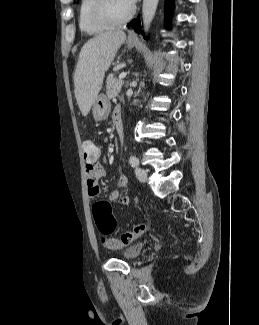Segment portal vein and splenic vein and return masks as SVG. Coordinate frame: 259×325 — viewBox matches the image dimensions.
Returning <instances> with one entry per match:
<instances>
[{
  "label": "portal vein and splenic vein",
  "instance_id": "18ae733b",
  "mask_svg": "<svg viewBox=\"0 0 259 325\" xmlns=\"http://www.w3.org/2000/svg\"><path fill=\"white\" fill-rule=\"evenodd\" d=\"M126 75H127L126 72H122V73L119 75V79L121 80V79L125 78Z\"/></svg>",
  "mask_w": 259,
  "mask_h": 325
}]
</instances>
